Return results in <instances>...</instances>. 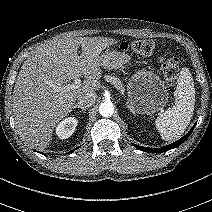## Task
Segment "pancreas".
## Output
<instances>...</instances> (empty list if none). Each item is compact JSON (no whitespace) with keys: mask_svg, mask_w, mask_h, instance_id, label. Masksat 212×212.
<instances>
[{"mask_svg":"<svg viewBox=\"0 0 212 212\" xmlns=\"http://www.w3.org/2000/svg\"><path fill=\"white\" fill-rule=\"evenodd\" d=\"M105 80L111 84H113L117 89H119L121 92H124V87L122 82L120 81L119 78L117 77H112V76H105Z\"/></svg>","mask_w":212,"mask_h":212,"instance_id":"pancreas-1","label":"pancreas"}]
</instances>
